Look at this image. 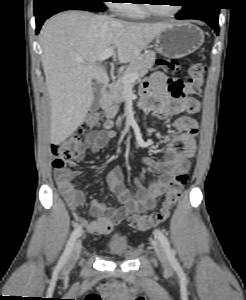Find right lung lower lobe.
I'll return each instance as SVG.
<instances>
[{
    "label": "right lung lower lobe",
    "instance_id": "98d812e1",
    "mask_svg": "<svg viewBox=\"0 0 246 300\" xmlns=\"http://www.w3.org/2000/svg\"><path fill=\"white\" fill-rule=\"evenodd\" d=\"M106 7L100 8L92 5L88 0H45L41 4L34 6L36 18V34L44 21L52 15L65 10H85L90 12L104 11Z\"/></svg>",
    "mask_w": 246,
    "mask_h": 300
}]
</instances>
